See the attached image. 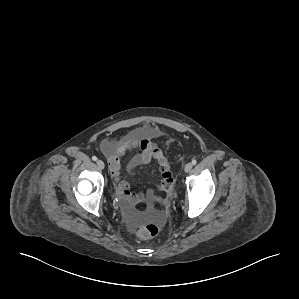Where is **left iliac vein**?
<instances>
[{"instance_id": "obj_1", "label": "left iliac vein", "mask_w": 299, "mask_h": 299, "mask_svg": "<svg viewBox=\"0 0 299 299\" xmlns=\"http://www.w3.org/2000/svg\"><path fill=\"white\" fill-rule=\"evenodd\" d=\"M192 167H193L192 163H187L184 167V171L189 172V171H191Z\"/></svg>"}]
</instances>
